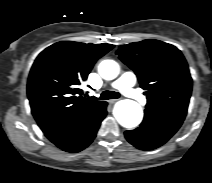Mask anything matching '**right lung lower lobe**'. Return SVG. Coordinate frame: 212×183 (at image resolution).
Masks as SVG:
<instances>
[{"label": "right lung lower lobe", "instance_id": "98d812e1", "mask_svg": "<svg viewBox=\"0 0 212 183\" xmlns=\"http://www.w3.org/2000/svg\"><path fill=\"white\" fill-rule=\"evenodd\" d=\"M107 103L89 116L68 123L52 131L44 132L45 136L60 149L76 153L86 148L95 138L101 121L107 114Z\"/></svg>", "mask_w": 212, "mask_h": 183}]
</instances>
